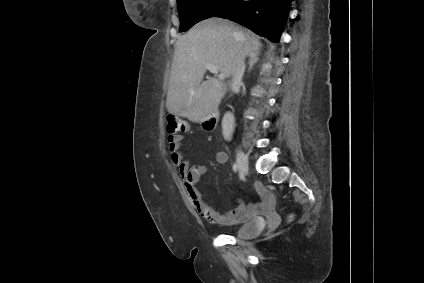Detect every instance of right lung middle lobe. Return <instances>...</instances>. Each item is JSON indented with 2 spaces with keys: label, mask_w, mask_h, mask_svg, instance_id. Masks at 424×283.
Segmentation results:
<instances>
[{
  "label": "right lung middle lobe",
  "mask_w": 424,
  "mask_h": 283,
  "mask_svg": "<svg viewBox=\"0 0 424 283\" xmlns=\"http://www.w3.org/2000/svg\"><path fill=\"white\" fill-rule=\"evenodd\" d=\"M233 0H177L180 17L179 31H187L194 24L227 9Z\"/></svg>",
  "instance_id": "dd1d6c3e"
}]
</instances>
